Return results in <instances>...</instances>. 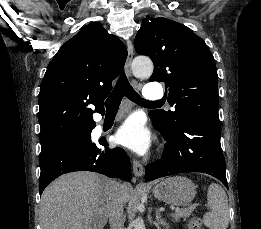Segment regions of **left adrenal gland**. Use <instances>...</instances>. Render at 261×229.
<instances>
[{
    "label": "left adrenal gland",
    "mask_w": 261,
    "mask_h": 229,
    "mask_svg": "<svg viewBox=\"0 0 261 229\" xmlns=\"http://www.w3.org/2000/svg\"><path fill=\"white\" fill-rule=\"evenodd\" d=\"M156 223L161 225V227H164V229H169V225L166 223L165 219H162L160 211H156Z\"/></svg>",
    "instance_id": "obj_1"
}]
</instances>
